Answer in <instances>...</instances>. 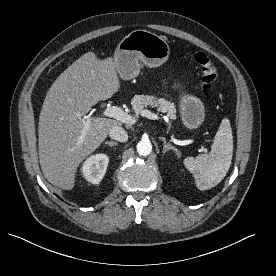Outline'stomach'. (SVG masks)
Returning a JSON list of instances; mask_svg holds the SVG:
<instances>
[{
    "label": "stomach",
    "instance_id": "1",
    "mask_svg": "<svg viewBox=\"0 0 276 276\" xmlns=\"http://www.w3.org/2000/svg\"><path fill=\"white\" fill-rule=\"evenodd\" d=\"M169 55L170 46L164 38L146 30H134L118 43L113 60L120 77L132 80L139 75L141 63L151 68L158 67L168 60ZM179 110L187 129H196L202 125L205 107L201 99L183 92Z\"/></svg>",
    "mask_w": 276,
    "mask_h": 276
}]
</instances>
